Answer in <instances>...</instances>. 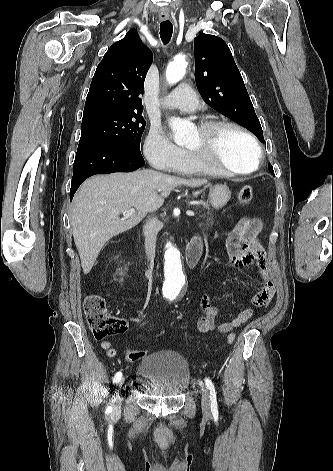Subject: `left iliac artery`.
<instances>
[{"label": "left iliac artery", "instance_id": "left-iliac-artery-1", "mask_svg": "<svg viewBox=\"0 0 333 471\" xmlns=\"http://www.w3.org/2000/svg\"><path fill=\"white\" fill-rule=\"evenodd\" d=\"M205 383L207 388L210 391V399H211V411L213 416H218V405H217V398H216V391L212 381L209 378L205 379Z\"/></svg>", "mask_w": 333, "mask_h": 471}]
</instances>
